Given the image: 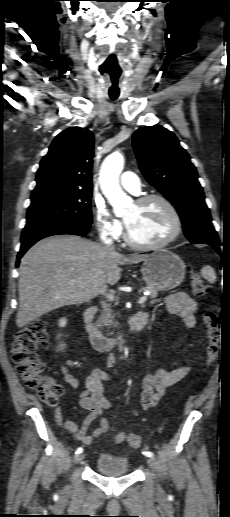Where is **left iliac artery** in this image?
<instances>
[{"label": "left iliac artery", "instance_id": "1", "mask_svg": "<svg viewBox=\"0 0 230 517\" xmlns=\"http://www.w3.org/2000/svg\"><path fill=\"white\" fill-rule=\"evenodd\" d=\"M143 454L145 456H147V457H153L154 456V454L152 452H150V451H145V452H143Z\"/></svg>", "mask_w": 230, "mask_h": 517}]
</instances>
